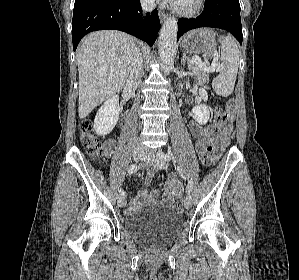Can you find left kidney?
<instances>
[{
  "label": "left kidney",
  "mask_w": 299,
  "mask_h": 280,
  "mask_svg": "<svg viewBox=\"0 0 299 280\" xmlns=\"http://www.w3.org/2000/svg\"><path fill=\"white\" fill-rule=\"evenodd\" d=\"M199 95L201 99L207 101L208 94L204 88L199 89ZM192 116L195 121H197L201 125H204L209 121L210 118L209 108L205 104L197 105L192 109Z\"/></svg>",
  "instance_id": "1"
}]
</instances>
